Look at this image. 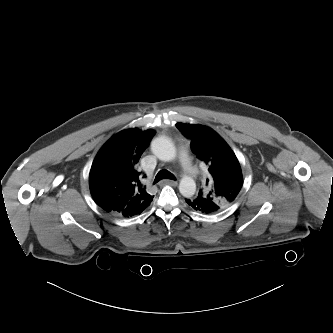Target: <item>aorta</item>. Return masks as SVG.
<instances>
[{"label":"aorta","instance_id":"762f6f07","mask_svg":"<svg viewBox=\"0 0 333 333\" xmlns=\"http://www.w3.org/2000/svg\"><path fill=\"white\" fill-rule=\"evenodd\" d=\"M153 154L162 161H172L176 157L174 144L167 137H157L151 143ZM180 193L189 198L196 192V183L190 176H183L179 183Z\"/></svg>","mask_w":333,"mask_h":333}]
</instances>
